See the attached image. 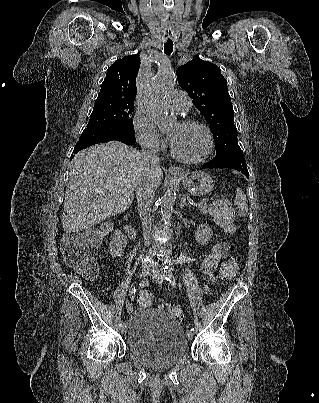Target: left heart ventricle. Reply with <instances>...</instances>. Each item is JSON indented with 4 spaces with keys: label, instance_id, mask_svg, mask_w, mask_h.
<instances>
[{
    "label": "left heart ventricle",
    "instance_id": "left-heart-ventricle-1",
    "mask_svg": "<svg viewBox=\"0 0 319 403\" xmlns=\"http://www.w3.org/2000/svg\"><path fill=\"white\" fill-rule=\"evenodd\" d=\"M175 151L185 158H198L207 148L205 132L198 126H186L180 122L173 123L167 130Z\"/></svg>",
    "mask_w": 319,
    "mask_h": 403
}]
</instances>
